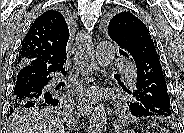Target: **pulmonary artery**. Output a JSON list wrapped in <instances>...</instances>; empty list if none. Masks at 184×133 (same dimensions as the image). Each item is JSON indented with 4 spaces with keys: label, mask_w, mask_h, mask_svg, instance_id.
<instances>
[{
    "label": "pulmonary artery",
    "mask_w": 184,
    "mask_h": 133,
    "mask_svg": "<svg viewBox=\"0 0 184 133\" xmlns=\"http://www.w3.org/2000/svg\"><path fill=\"white\" fill-rule=\"evenodd\" d=\"M112 68L116 70H127V78L131 83L135 81L136 74L132 68L131 62L127 61L124 58H115L112 61Z\"/></svg>",
    "instance_id": "obj_1"
}]
</instances>
